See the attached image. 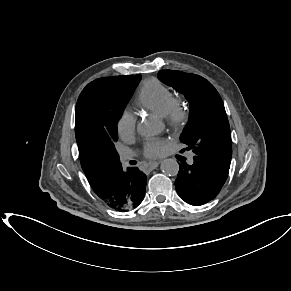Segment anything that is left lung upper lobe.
<instances>
[{
  "label": "left lung upper lobe",
  "mask_w": 291,
  "mask_h": 291,
  "mask_svg": "<svg viewBox=\"0 0 291 291\" xmlns=\"http://www.w3.org/2000/svg\"><path fill=\"white\" fill-rule=\"evenodd\" d=\"M158 78L189 101V120L180 137L186 149H191L196 159L228 173L232 157L230 126L215 87L199 75L181 71L161 70Z\"/></svg>",
  "instance_id": "1"
}]
</instances>
